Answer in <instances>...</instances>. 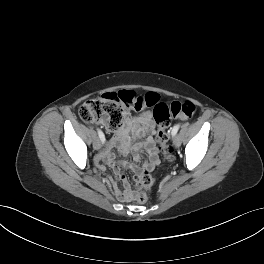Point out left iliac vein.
Returning a JSON list of instances; mask_svg holds the SVG:
<instances>
[{
	"mask_svg": "<svg viewBox=\"0 0 264 264\" xmlns=\"http://www.w3.org/2000/svg\"><path fill=\"white\" fill-rule=\"evenodd\" d=\"M173 144L175 147H179L181 145V139L178 135H174L173 137Z\"/></svg>",
	"mask_w": 264,
	"mask_h": 264,
	"instance_id": "4c4485c4",
	"label": "left iliac vein"
}]
</instances>
